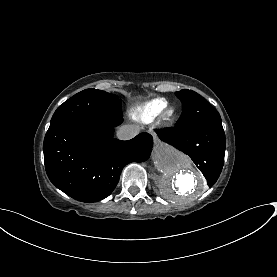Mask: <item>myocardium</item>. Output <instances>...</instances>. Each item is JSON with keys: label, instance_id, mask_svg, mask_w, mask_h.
I'll list each match as a JSON object with an SVG mask.
<instances>
[{"label": "myocardium", "instance_id": "myocardium-1", "mask_svg": "<svg viewBox=\"0 0 277 277\" xmlns=\"http://www.w3.org/2000/svg\"><path fill=\"white\" fill-rule=\"evenodd\" d=\"M175 118V109L173 107H165L161 112H160V117L159 121L160 123L167 125L170 124Z\"/></svg>", "mask_w": 277, "mask_h": 277}]
</instances>
